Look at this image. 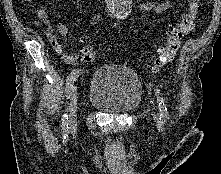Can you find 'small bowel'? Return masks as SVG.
<instances>
[{"label": "small bowel", "mask_w": 221, "mask_h": 174, "mask_svg": "<svg viewBox=\"0 0 221 174\" xmlns=\"http://www.w3.org/2000/svg\"><path fill=\"white\" fill-rule=\"evenodd\" d=\"M172 5H173L172 0H167L165 2H144V3L140 4V9L142 12H152L155 14H159V13L169 9ZM37 16H38L40 22L42 23V25L44 26L45 34H46L47 38L49 39L52 47L54 48V50L56 52L61 53L62 52V45L53 35V31L56 30L60 33L61 36H66L68 33L66 26L63 24H57L55 26L50 25L49 20H48V16L43 10H38ZM144 19H145V22L148 24L149 23L148 18L145 17ZM98 20H99V16L96 15L92 19V24H96L98 22ZM79 57H80V53L63 54L62 55L63 60L67 64L76 63L78 61Z\"/></svg>", "instance_id": "1"}]
</instances>
